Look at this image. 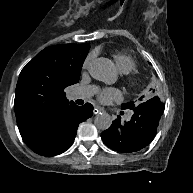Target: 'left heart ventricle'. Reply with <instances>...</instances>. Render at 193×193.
Here are the masks:
<instances>
[{
    "label": "left heart ventricle",
    "mask_w": 193,
    "mask_h": 193,
    "mask_svg": "<svg viewBox=\"0 0 193 193\" xmlns=\"http://www.w3.org/2000/svg\"><path fill=\"white\" fill-rule=\"evenodd\" d=\"M107 83H108V84H112V83H113V81H107Z\"/></svg>",
    "instance_id": "b2bd125f"
}]
</instances>
